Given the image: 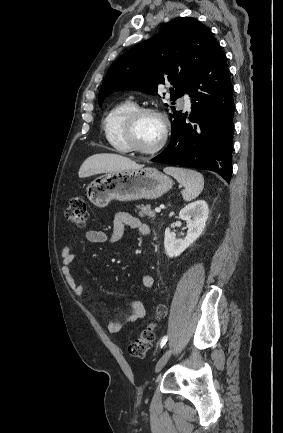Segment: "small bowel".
<instances>
[{
    "label": "small bowel",
    "instance_id": "c3829d8e",
    "mask_svg": "<svg viewBox=\"0 0 283 433\" xmlns=\"http://www.w3.org/2000/svg\"><path fill=\"white\" fill-rule=\"evenodd\" d=\"M126 227L137 229L143 235L150 233V227L147 224L142 223L137 217L127 212H118L114 216L110 235L102 230H88L85 232L84 237L88 242L91 243H103L106 241L117 243L122 239ZM74 258L75 255L71 247L69 245L64 246L61 250V271L74 295L82 302L86 303L89 307H93V304L86 295L84 286L78 284L72 274L70 266L74 261ZM153 284L154 278L152 275L147 274L141 278V285L143 288L149 289L153 286ZM145 315L146 308L144 304L140 300H134L131 302L130 314L124 319L123 322L114 320L109 321L107 324L108 331L111 333L119 332L122 329L123 324L133 323L139 319H142Z\"/></svg>",
    "mask_w": 283,
    "mask_h": 433
}]
</instances>
